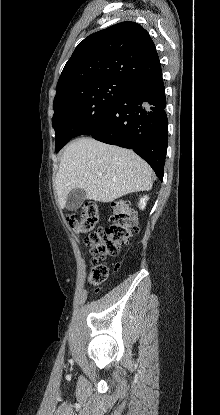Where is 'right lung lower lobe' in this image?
Masks as SVG:
<instances>
[{
	"label": "right lung lower lobe",
	"instance_id": "obj_1",
	"mask_svg": "<svg viewBox=\"0 0 220 415\" xmlns=\"http://www.w3.org/2000/svg\"><path fill=\"white\" fill-rule=\"evenodd\" d=\"M162 70L130 85L116 101L104 123L91 136L101 142L132 149L162 181L167 152L168 120Z\"/></svg>",
	"mask_w": 220,
	"mask_h": 415
}]
</instances>
